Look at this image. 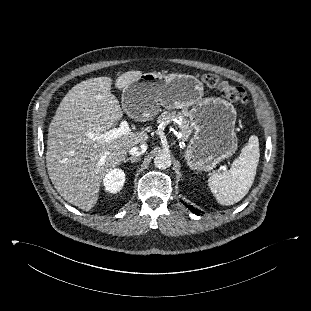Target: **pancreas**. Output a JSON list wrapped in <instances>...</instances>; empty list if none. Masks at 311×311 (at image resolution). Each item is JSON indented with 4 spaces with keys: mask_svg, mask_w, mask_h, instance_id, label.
<instances>
[{
    "mask_svg": "<svg viewBox=\"0 0 311 311\" xmlns=\"http://www.w3.org/2000/svg\"><path fill=\"white\" fill-rule=\"evenodd\" d=\"M175 120H179L180 124L178 125L179 133L181 134V140L182 141H187L190 134L193 131L192 126L189 125V121L186 118V112H176V111H165L163 112L157 119L158 124H164L168 125L170 122H173Z\"/></svg>",
    "mask_w": 311,
    "mask_h": 311,
    "instance_id": "obj_1",
    "label": "pancreas"
}]
</instances>
